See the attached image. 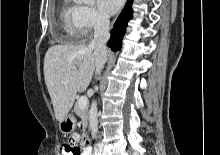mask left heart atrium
I'll return each instance as SVG.
<instances>
[{
  "instance_id": "left-heart-atrium-1",
  "label": "left heart atrium",
  "mask_w": 220,
  "mask_h": 155,
  "mask_svg": "<svg viewBox=\"0 0 220 155\" xmlns=\"http://www.w3.org/2000/svg\"><path fill=\"white\" fill-rule=\"evenodd\" d=\"M124 0H98V5L106 14H115L122 6Z\"/></svg>"
}]
</instances>
